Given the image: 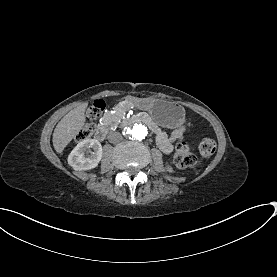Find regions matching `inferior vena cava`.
Masks as SVG:
<instances>
[{"label": "inferior vena cava", "mask_w": 277, "mask_h": 277, "mask_svg": "<svg viewBox=\"0 0 277 277\" xmlns=\"http://www.w3.org/2000/svg\"><path fill=\"white\" fill-rule=\"evenodd\" d=\"M108 138L111 142L117 143L118 141L122 140V135L118 132H111L109 134Z\"/></svg>", "instance_id": "1"}]
</instances>
